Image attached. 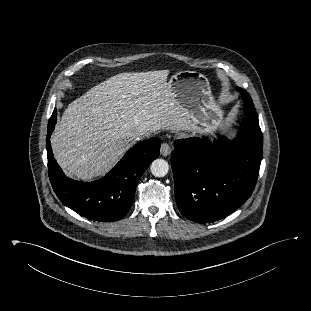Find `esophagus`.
<instances>
[{"instance_id":"1","label":"esophagus","mask_w":311,"mask_h":311,"mask_svg":"<svg viewBox=\"0 0 311 311\" xmlns=\"http://www.w3.org/2000/svg\"><path fill=\"white\" fill-rule=\"evenodd\" d=\"M160 153L162 156H168L171 153V147L168 143H162Z\"/></svg>"}]
</instances>
